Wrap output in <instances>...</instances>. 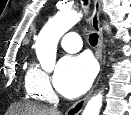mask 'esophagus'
<instances>
[{
    "label": "esophagus",
    "mask_w": 131,
    "mask_h": 115,
    "mask_svg": "<svg viewBox=\"0 0 131 115\" xmlns=\"http://www.w3.org/2000/svg\"><path fill=\"white\" fill-rule=\"evenodd\" d=\"M94 8L93 13L91 17V24L93 29L98 33V44L96 48V57L100 62V66H102V50H103V34L102 29L100 26V8H101V2L100 0H94L93 2ZM100 77V76H99ZM99 79V78H98ZM98 82V80H97ZM97 82L94 84L92 90L81 100L77 101L75 104H73L65 113V115H78L84 108L85 104L91 97L94 88L97 85Z\"/></svg>",
    "instance_id": "34e87169"
}]
</instances>
